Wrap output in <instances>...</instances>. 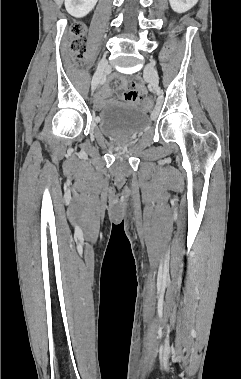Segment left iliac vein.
I'll return each instance as SVG.
<instances>
[{"label": "left iliac vein", "mask_w": 241, "mask_h": 379, "mask_svg": "<svg viewBox=\"0 0 241 379\" xmlns=\"http://www.w3.org/2000/svg\"><path fill=\"white\" fill-rule=\"evenodd\" d=\"M144 73L154 89H157L159 83L158 72L153 63H149L144 68Z\"/></svg>", "instance_id": "obj_1"}]
</instances>
